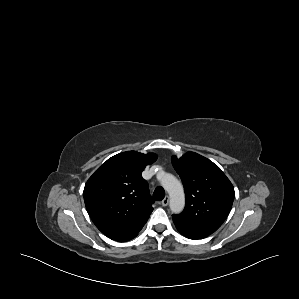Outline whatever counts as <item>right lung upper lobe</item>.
Segmentation results:
<instances>
[{
	"instance_id": "cb5924a9",
	"label": "right lung upper lobe",
	"mask_w": 299,
	"mask_h": 299,
	"mask_svg": "<svg viewBox=\"0 0 299 299\" xmlns=\"http://www.w3.org/2000/svg\"><path fill=\"white\" fill-rule=\"evenodd\" d=\"M156 154L127 151L101 165L84 187L87 211L96 227L119 242L131 239L143 228L153 200L141 173Z\"/></svg>"
}]
</instances>
